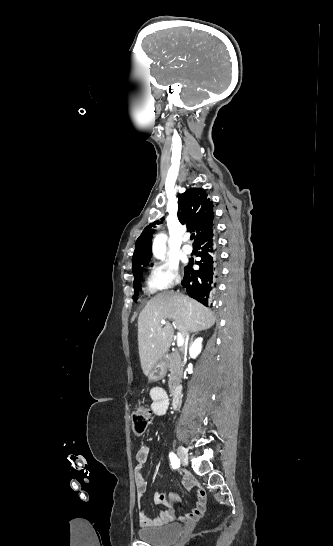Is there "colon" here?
I'll return each instance as SVG.
<instances>
[{
    "label": "colon",
    "instance_id": "5ec220e1",
    "mask_svg": "<svg viewBox=\"0 0 333 546\" xmlns=\"http://www.w3.org/2000/svg\"><path fill=\"white\" fill-rule=\"evenodd\" d=\"M152 411L137 407L132 413V430L136 436H142L152 421Z\"/></svg>",
    "mask_w": 333,
    "mask_h": 546
}]
</instances>
